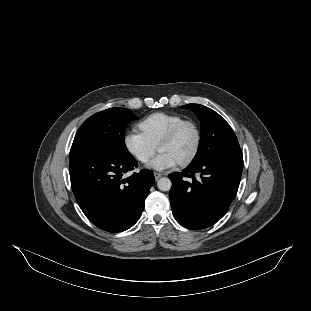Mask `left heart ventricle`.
I'll use <instances>...</instances> for the list:
<instances>
[{"instance_id":"b2bd125f","label":"left heart ventricle","mask_w":311,"mask_h":311,"mask_svg":"<svg viewBox=\"0 0 311 311\" xmlns=\"http://www.w3.org/2000/svg\"><path fill=\"white\" fill-rule=\"evenodd\" d=\"M198 140V131L194 123L186 124L176 137V139L162 146L160 153H167L175 158L178 163L188 159L194 152Z\"/></svg>"}]
</instances>
